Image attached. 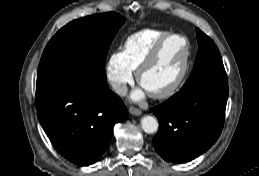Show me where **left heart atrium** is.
Wrapping results in <instances>:
<instances>
[{
    "label": "left heart atrium",
    "mask_w": 259,
    "mask_h": 176,
    "mask_svg": "<svg viewBox=\"0 0 259 176\" xmlns=\"http://www.w3.org/2000/svg\"><path fill=\"white\" fill-rule=\"evenodd\" d=\"M146 90L142 87L137 89L133 94H132V99L133 100H141L145 96Z\"/></svg>",
    "instance_id": "left-heart-atrium-1"
}]
</instances>
